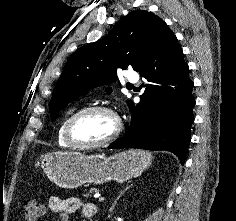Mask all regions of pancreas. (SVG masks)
I'll use <instances>...</instances> for the list:
<instances>
[{
  "label": "pancreas",
  "instance_id": "obj_1",
  "mask_svg": "<svg viewBox=\"0 0 236 221\" xmlns=\"http://www.w3.org/2000/svg\"><path fill=\"white\" fill-rule=\"evenodd\" d=\"M92 192H98V190L96 188H91L89 190V193H92ZM89 193H86L85 197H88L89 196Z\"/></svg>",
  "mask_w": 236,
  "mask_h": 221
}]
</instances>
